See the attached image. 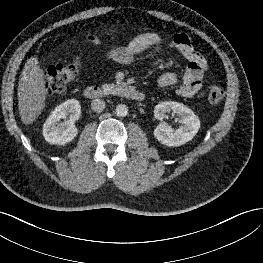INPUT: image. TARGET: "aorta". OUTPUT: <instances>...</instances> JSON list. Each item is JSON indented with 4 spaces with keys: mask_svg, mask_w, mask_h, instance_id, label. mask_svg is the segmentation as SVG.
I'll return each mask as SVG.
<instances>
[{
    "mask_svg": "<svg viewBox=\"0 0 263 263\" xmlns=\"http://www.w3.org/2000/svg\"><path fill=\"white\" fill-rule=\"evenodd\" d=\"M115 110L119 117H125L128 114V107L125 104H118Z\"/></svg>",
    "mask_w": 263,
    "mask_h": 263,
    "instance_id": "1",
    "label": "aorta"
}]
</instances>
